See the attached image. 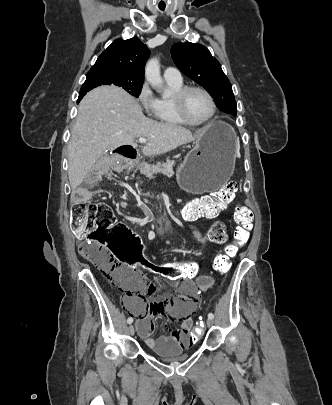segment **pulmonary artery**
I'll use <instances>...</instances> for the list:
<instances>
[{
	"instance_id": "pulmonary-artery-1",
	"label": "pulmonary artery",
	"mask_w": 332,
	"mask_h": 405,
	"mask_svg": "<svg viewBox=\"0 0 332 405\" xmlns=\"http://www.w3.org/2000/svg\"><path fill=\"white\" fill-rule=\"evenodd\" d=\"M163 76L165 80L174 81V82H181L182 75L180 71L173 67H168L164 70Z\"/></svg>"
}]
</instances>
